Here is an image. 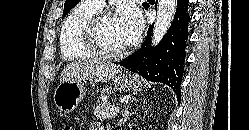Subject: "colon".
<instances>
[{
    "mask_svg": "<svg viewBox=\"0 0 249 130\" xmlns=\"http://www.w3.org/2000/svg\"><path fill=\"white\" fill-rule=\"evenodd\" d=\"M62 130H75V128L71 125H65Z\"/></svg>",
    "mask_w": 249,
    "mask_h": 130,
    "instance_id": "colon-1",
    "label": "colon"
}]
</instances>
